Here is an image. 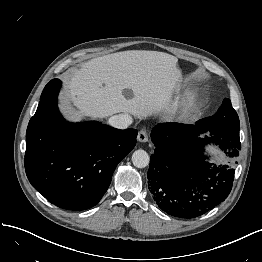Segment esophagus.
<instances>
[{"mask_svg":"<svg viewBox=\"0 0 262 262\" xmlns=\"http://www.w3.org/2000/svg\"><path fill=\"white\" fill-rule=\"evenodd\" d=\"M137 140L139 142H147L148 141V133L145 129H141L137 135Z\"/></svg>","mask_w":262,"mask_h":262,"instance_id":"esophagus-1","label":"esophagus"}]
</instances>
